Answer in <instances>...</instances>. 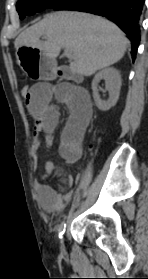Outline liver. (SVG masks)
<instances>
[{"label":"liver","mask_w":148,"mask_h":279,"mask_svg":"<svg viewBox=\"0 0 148 279\" xmlns=\"http://www.w3.org/2000/svg\"><path fill=\"white\" fill-rule=\"evenodd\" d=\"M43 37L45 41L40 40ZM129 42L112 22L76 11H56L24 30L15 40L16 49H39L54 60L62 48L73 50L72 72L90 76L118 62Z\"/></svg>","instance_id":"obj_1"}]
</instances>
